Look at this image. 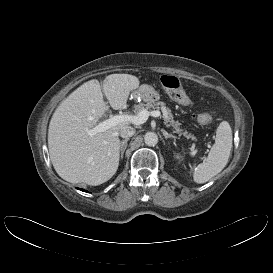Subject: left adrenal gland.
I'll list each match as a JSON object with an SVG mask.
<instances>
[{"label": "left adrenal gland", "instance_id": "1", "mask_svg": "<svg viewBox=\"0 0 273 273\" xmlns=\"http://www.w3.org/2000/svg\"><path fill=\"white\" fill-rule=\"evenodd\" d=\"M163 135H164L165 139H168V138L177 139V137H176V136H174V135H172V134L167 133L165 130L163 131Z\"/></svg>", "mask_w": 273, "mask_h": 273}]
</instances>
